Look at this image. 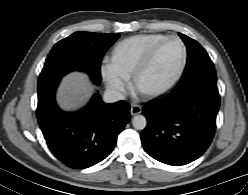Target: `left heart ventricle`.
<instances>
[{"mask_svg":"<svg viewBox=\"0 0 248 195\" xmlns=\"http://www.w3.org/2000/svg\"><path fill=\"white\" fill-rule=\"evenodd\" d=\"M183 57L180 41H168L158 52L151 68L143 76L141 87L154 90L166 85L176 74Z\"/></svg>","mask_w":248,"mask_h":195,"instance_id":"b2bd125f","label":"left heart ventricle"}]
</instances>
